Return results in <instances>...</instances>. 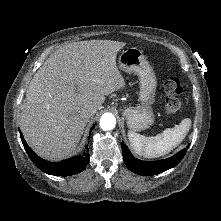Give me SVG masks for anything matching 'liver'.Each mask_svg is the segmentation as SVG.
<instances>
[{
    "label": "liver",
    "mask_w": 221,
    "mask_h": 221,
    "mask_svg": "<svg viewBox=\"0 0 221 221\" xmlns=\"http://www.w3.org/2000/svg\"><path fill=\"white\" fill-rule=\"evenodd\" d=\"M126 43L90 40L57 49L33 76L20 116L29 146L41 157L69 156L83 134L85 105L101 108L105 96L125 88L116 64Z\"/></svg>",
    "instance_id": "obj_1"
}]
</instances>
